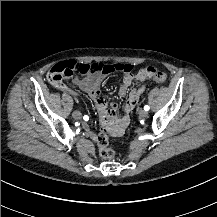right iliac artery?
Instances as JSON below:
<instances>
[{
    "instance_id": "right-iliac-artery-1",
    "label": "right iliac artery",
    "mask_w": 217,
    "mask_h": 217,
    "mask_svg": "<svg viewBox=\"0 0 217 217\" xmlns=\"http://www.w3.org/2000/svg\"><path fill=\"white\" fill-rule=\"evenodd\" d=\"M89 116L88 115H85V116H83V121H89Z\"/></svg>"
}]
</instances>
